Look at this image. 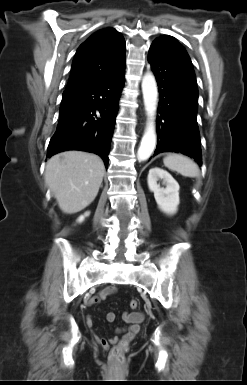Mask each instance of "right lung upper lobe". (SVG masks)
Instances as JSON below:
<instances>
[{
    "mask_svg": "<svg viewBox=\"0 0 247 385\" xmlns=\"http://www.w3.org/2000/svg\"><path fill=\"white\" fill-rule=\"evenodd\" d=\"M126 43L113 28L94 33L78 48L64 93H71L117 73L125 66Z\"/></svg>",
    "mask_w": 247,
    "mask_h": 385,
    "instance_id": "1",
    "label": "right lung upper lobe"
}]
</instances>
